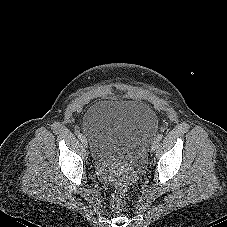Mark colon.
<instances>
[{
  "mask_svg": "<svg viewBox=\"0 0 227 227\" xmlns=\"http://www.w3.org/2000/svg\"><path fill=\"white\" fill-rule=\"evenodd\" d=\"M111 207L117 211H123L127 206L126 188L124 184H120L119 188L114 191L110 201Z\"/></svg>",
  "mask_w": 227,
  "mask_h": 227,
  "instance_id": "colon-1",
  "label": "colon"
}]
</instances>
